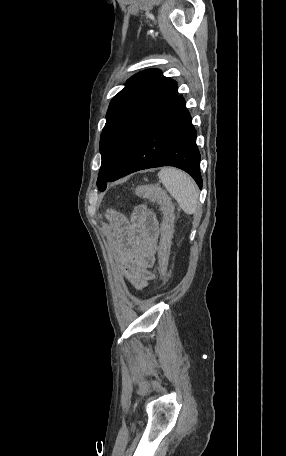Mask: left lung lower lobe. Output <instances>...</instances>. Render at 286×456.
<instances>
[{
	"label": "left lung lower lobe",
	"instance_id": "0a47b994",
	"mask_svg": "<svg viewBox=\"0 0 286 456\" xmlns=\"http://www.w3.org/2000/svg\"><path fill=\"white\" fill-rule=\"evenodd\" d=\"M196 130L183 96L175 99L136 137L111 178L115 181L132 172L174 166L189 173L202 188L200 153Z\"/></svg>",
	"mask_w": 286,
	"mask_h": 456
}]
</instances>
